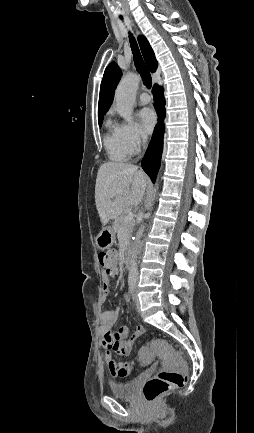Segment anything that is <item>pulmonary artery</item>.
Listing matches in <instances>:
<instances>
[{"label":"pulmonary artery","instance_id":"obj_1","mask_svg":"<svg viewBox=\"0 0 254 433\" xmlns=\"http://www.w3.org/2000/svg\"><path fill=\"white\" fill-rule=\"evenodd\" d=\"M150 102V96L147 93H141L139 95V103L141 105H146Z\"/></svg>","mask_w":254,"mask_h":433}]
</instances>
